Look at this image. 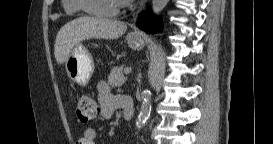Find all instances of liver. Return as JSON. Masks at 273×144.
Segmentation results:
<instances>
[{"mask_svg": "<svg viewBox=\"0 0 273 144\" xmlns=\"http://www.w3.org/2000/svg\"><path fill=\"white\" fill-rule=\"evenodd\" d=\"M127 30L126 23L98 17H80L66 23L57 33L54 55L58 64L66 62L74 46L91 38L117 39Z\"/></svg>", "mask_w": 273, "mask_h": 144, "instance_id": "obj_1", "label": "liver"}]
</instances>
